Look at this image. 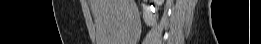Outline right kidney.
I'll return each mask as SVG.
<instances>
[{
	"mask_svg": "<svg viewBox=\"0 0 261 44\" xmlns=\"http://www.w3.org/2000/svg\"><path fill=\"white\" fill-rule=\"evenodd\" d=\"M164 0H158V5H161ZM155 8L153 6H146L143 10V20L147 26H153L156 23V16L153 14Z\"/></svg>",
	"mask_w": 261,
	"mask_h": 44,
	"instance_id": "1",
	"label": "right kidney"
}]
</instances>
